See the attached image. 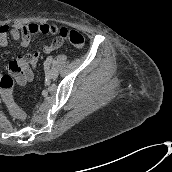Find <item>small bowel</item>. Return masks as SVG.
<instances>
[{"label":"small bowel","mask_w":172,"mask_h":172,"mask_svg":"<svg viewBox=\"0 0 172 172\" xmlns=\"http://www.w3.org/2000/svg\"><path fill=\"white\" fill-rule=\"evenodd\" d=\"M39 26H51L48 24H41ZM24 26L14 25L10 28L7 25H0V46L5 47L9 43V38L13 41L20 43L22 46L26 47L31 42V37L26 41L23 40L21 30ZM35 33L41 34H52V32H42L37 31ZM34 34V33H33ZM32 34V35H33ZM31 35V36H32ZM61 46V40H54L52 44H43L41 49L44 53H50L52 50L57 49ZM38 61V53L27 55L26 57H18L11 61L10 68L16 69L17 71V80L20 84H24L27 80L32 78V69L36 66Z\"/></svg>","instance_id":"obj_1"}]
</instances>
